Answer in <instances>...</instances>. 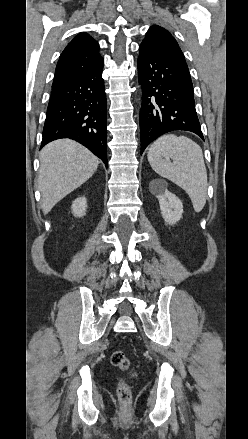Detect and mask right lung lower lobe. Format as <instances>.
<instances>
[{
  "label": "right lung lower lobe",
  "mask_w": 248,
  "mask_h": 439,
  "mask_svg": "<svg viewBox=\"0 0 248 439\" xmlns=\"http://www.w3.org/2000/svg\"><path fill=\"white\" fill-rule=\"evenodd\" d=\"M103 62L93 69L52 87L41 148L70 138L86 146L107 166V102Z\"/></svg>",
  "instance_id": "1"
}]
</instances>
